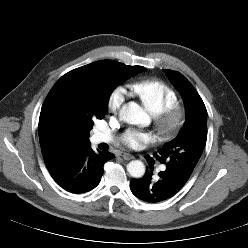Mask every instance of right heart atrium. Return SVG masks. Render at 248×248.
<instances>
[{
    "label": "right heart atrium",
    "mask_w": 248,
    "mask_h": 248,
    "mask_svg": "<svg viewBox=\"0 0 248 248\" xmlns=\"http://www.w3.org/2000/svg\"><path fill=\"white\" fill-rule=\"evenodd\" d=\"M126 99V91L121 86L113 88L108 96L107 106L111 112L117 113Z\"/></svg>",
    "instance_id": "1"
}]
</instances>
